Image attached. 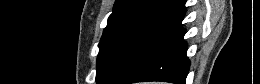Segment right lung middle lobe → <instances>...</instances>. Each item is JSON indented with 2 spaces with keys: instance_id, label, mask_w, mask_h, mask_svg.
Listing matches in <instances>:
<instances>
[{
  "instance_id": "dd1d6c3e",
  "label": "right lung middle lobe",
  "mask_w": 260,
  "mask_h": 84,
  "mask_svg": "<svg viewBox=\"0 0 260 84\" xmlns=\"http://www.w3.org/2000/svg\"><path fill=\"white\" fill-rule=\"evenodd\" d=\"M178 28L136 25L101 39L98 84H127L174 37Z\"/></svg>"
}]
</instances>
